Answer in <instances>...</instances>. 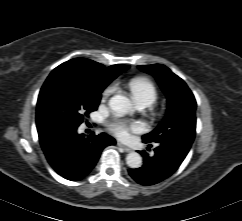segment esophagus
I'll return each instance as SVG.
<instances>
[{"label": "esophagus", "instance_id": "34e87169", "mask_svg": "<svg viewBox=\"0 0 242 221\" xmlns=\"http://www.w3.org/2000/svg\"><path fill=\"white\" fill-rule=\"evenodd\" d=\"M117 145L122 148L125 152H132V149L118 142Z\"/></svg>", "mask_w": 242, "mask_h": 221}]
</instances>
